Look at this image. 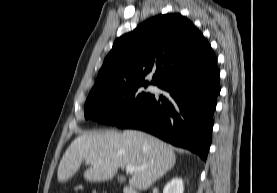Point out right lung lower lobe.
I'll use <instances>...</instances> for the list:
<instances>
[{
	"instance_id": "98d812e1",
	"label": "right lung lower lobe",
	"mask_w": 277,
	"mask_h": 193,
	"mask_svg": "<svg viewBox=\"0 0 277 193\" xmlns=\"http://www.w3.org/2000/svg\"><path fill=\"white\" fill-rule=\"evenodd\" d=\"M220 72L210 51L203 59L179 70L158 87L169 98H152L117 126L149 132L206 160L212 140L213 113L220 93Z\"/></svg>"
}]
</instances>
